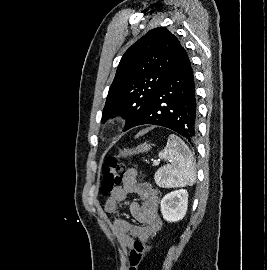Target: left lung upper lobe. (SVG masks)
Masks as SVG:
<instances>
[{
    "label": "left lung upper lobe",
    "instance_id": "obj_1",
    "mask_svg": "<svg viewBox=\"0 0 267 270\" xmlns=\"http://www.w3.org/2000/svg\"><path fill=\"white\" fill-rule=\"evenodd\" d=\"M181 44L168 29L147 32L123 55L103 109V123L116 115L132 128L153 101L174 64Z\"/></svg>",
    "mask_w": 267,
    "mask_h": 270
}]
</instances>
